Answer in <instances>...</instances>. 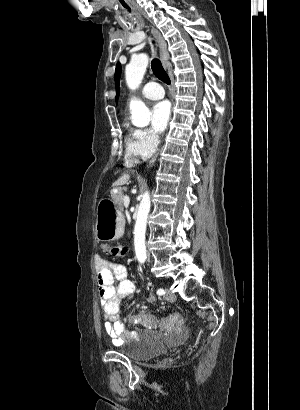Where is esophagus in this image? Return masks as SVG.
I'll return each mask as SVG.
<instances>
[{
	"label": "esophagus",
	"mask_w": 300,
	"mask_h": 410,
	"mask_svg": "<svg viewBox=\"0 0 300 410\" xmlns=\"http://www.w3.org/2000/svg\"><path fill=\"white\" fill-rule=\"evenodd\" d=\"M151 33L156 39L158 46H159V53H160V59L163 63L164 66H167V63L169 61V52L167 50V44L164 38L162 37L161 33L154 27L151 28ZM156 160V157H154L149 165L153 164Z\"/></svg>",
	"instance_id": "obj_1"
}]
</instances>
